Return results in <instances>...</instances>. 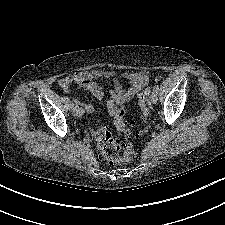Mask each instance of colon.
Masks as SVG:
<instances>
[{
    "label": "colon",
    "instance_id": "obj_1",
    "mask_svg": "<svg viewBox=\"0 0 225 225\" xmlns=\"http://www.w3.org/2000/svg\"><path fill=\"white\" fill-rule=\"evenodd\" d=\"M150 88L143 90L138 97V105L141 111V117L147 124L151 119V108L149 105ZM109 114L113 119L117 131L127 138L137 137L125 121V110L122 107H112ZM147 128L143 130L146 132ZM93 139L100 148L103 156L111 163L128 162L135 158L136 151L131 143L120 142L117 137L107 127H101L93 132Z\"/></svg>",
    "mask_w": 225,
    "mask_h": 225
}]
</instances>
